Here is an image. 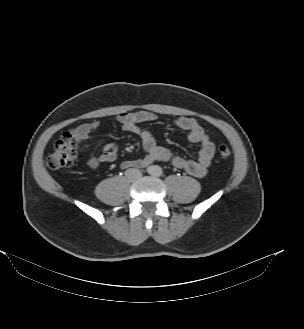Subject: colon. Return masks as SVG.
<instances>
[{"label": "colon", "instance_id": "obj_1", "mask_svg": "<svg viewBox=\"0 0 304 329\" xmlns=\"http://www.w3.org/2000/svg\"><path fill=\"white\" fill-rule=\"evenodd\" d=\"M77 137L72 132H66L55 144L53 151L47 157V166L52 170H60L73 165L77 157ZM222 159L231 156V150L227 145H221L218 149Z\"/></svg>", "mask_w": 304, "mask_h": 329}]
</instances>
